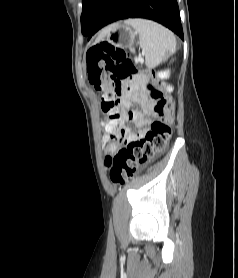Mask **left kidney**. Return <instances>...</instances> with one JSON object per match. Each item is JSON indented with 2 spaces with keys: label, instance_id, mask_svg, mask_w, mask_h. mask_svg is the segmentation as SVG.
<instances>
[{
  "label": "left kidney",
  "instance_id": "1",
  "mask_svg": "<svg viewBox=\"0 0 238 278\" xmlns=\"http://www.w3.org/2000/svg\"><path fill=\"white\" fill-rule=\"evenodd\" d=\"M158 77L161 79L162 81V85H164V79H167L169 77V70H165V71H160L158 72ZM167 91L168 92H172L173 91V87L172 86H167Z\"/></svg>",
  "mask_w": 238,
  "mask_h": 278
}]
</instances>
